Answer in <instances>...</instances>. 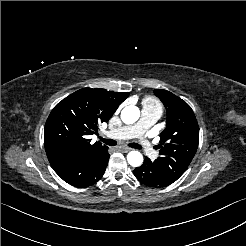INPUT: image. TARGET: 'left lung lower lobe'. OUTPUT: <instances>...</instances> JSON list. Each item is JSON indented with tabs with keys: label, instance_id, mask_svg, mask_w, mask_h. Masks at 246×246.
I'll return each instance as SVG.
<instances>
[{
	"label": "left lung lower lobe",
	"instance_id": "left-lung-lower-lobe-1",
	"mask_svg": "<svg viewBox=\"0 0 246 246\" xmlns=\"http://www.w3.org/2000/svg\"><path fill=\"white\" fill-rule=\"evenodd\" d=\"M136 178L150 187H165L177 180L170 172L160 167L156 161L145 158L142 166L133 171Z\"/></svg>",
	"mask_w": 246,
	"mask_h": 246
}]
</instances>
